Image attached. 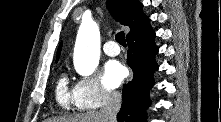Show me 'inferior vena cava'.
Wrapping results in <instances>:
<instances>
[{
    "instance_id": "inferior-vena-cava-1",
    "label": "inferior vena cava",
    "mask_w": 221,
    "mask_h": 122,
    "mask_svg": "<svg viewBox=\"0 0 221 122\" xmlns=\"http://www.w3.org/2000/svg\"><path fill=\"white\" fill-rule=\"evenodd\" d=\"M121 94L116 91H107L105 93V104L101 110L103 116L108 122H116V116L121 108Z\"/></svg>"
}]
</instances>
